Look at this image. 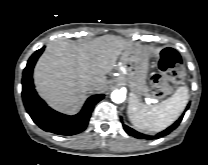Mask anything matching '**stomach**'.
<instances>
[{"label": "stomach", "instance_id": "0dacf381", "mask_svg": "<svg viewBox=\"0 0 208 165\" xmlns=\"http://www.w3.org/2000/svg\"><path fill=\"white\" fill-rule=\"evenodd\" d=\"M125 63L129 64L128 75H121L117 78L116 82L128 85L131 94L137 98L148 94L147 86V73L149 69L148 56L139 49H133L126 54Z\"/></svg>", "mask_w": 208, "mask_h": 165}]
</instances>
